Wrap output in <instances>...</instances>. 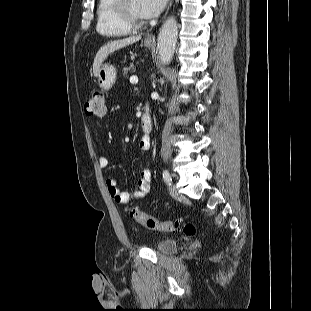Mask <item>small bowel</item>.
<instances>
[{
	"mask_svg": "<svg viewBox=\"0 0 311 311\" xmlns=\"http://www.w3.org/2000/svg\"><path fill=\"white\" fill-rule=\"evenodd\" d=\"M151 145V140L149 136L143 135L139 141V150L141 153L146 152ZM98 164L100 168H107L110 165V160L105 156H100L98 158ZM151 174L147 167L142 168L137 185L138 190L135 192H125L121 191L117 186V181L114 178H107L105 180V185L107 187L110 197L120 204H128L134 199L142 198L150 190Z\"/></svg>",
	"mask_w": 311,
	"mask_h": 311,
	"instance_id": "1",
	"label": "small bowel"
}]
</instances>
